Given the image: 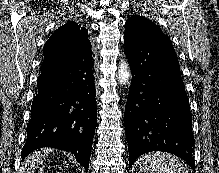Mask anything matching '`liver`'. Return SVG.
Listing matches in <instances>:
<instances>
[{
  "mask_svg": "<svg viewBox=\"0 0 219 173\" xmlns=\"http://www.w3.org/2000/svg\"><path fill=\"white\" fill-rule=\"evenodd\" d=\"M48 151H36L31 156L26 158L25 167L27 172L30 173L31 170L37 168L40 164H42L43 159L46 157Z\"/></svg>",
  "mask_w": 219,
  "mask_h": 173,
  "instance_id": "obj_1",
  "label": "liver"
}]
</instances>
